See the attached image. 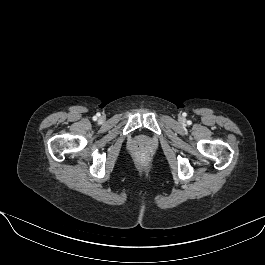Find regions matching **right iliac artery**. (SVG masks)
Returning a JSON list of instances; mask_svg holds the SVG:
<instances>
[{
	"instance_id": "82829eb1",
	"label": "right iliac artery",
	"mask_w": 265,
	"mask_h": 265,
	"mask_svg": "<svg viewBox=\"0 0 265 265\" xmlns=\"http://www.w3.org/2000/svg\"><path fill=\"white\" fill-rule=\"evenodd\" d=\"M94 119L96 120V119H97V117L95 116V117H94Z\"/></svg>"
}]
</instances>
